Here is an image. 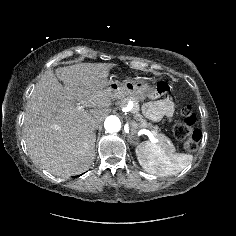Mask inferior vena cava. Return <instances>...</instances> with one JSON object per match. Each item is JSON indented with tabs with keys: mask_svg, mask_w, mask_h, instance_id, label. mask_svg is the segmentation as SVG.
Returning a JSON list of instances; mask_svg holds the SVG:
<instances>
[{
	"mask_svg": "<svg viewBox=\"0 0 236 236\" xmlns=\"http://www.w3.org/2000/svg\"><path fill=\"white\" fill-rule=\"evenodd\" d=\"M99 125H100V123H99L98 121L93 120V121H91V123H90V128H91L92 130H96V129L99 127Z\"/></svg>",
	"mask_w": 236,
	"mask_h": 236,
	"instance_id": "inferior-vena-cava-1",
	"label": "inferior vena cava"
}]
</instances>
